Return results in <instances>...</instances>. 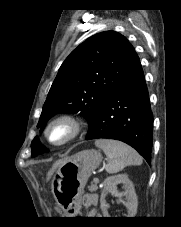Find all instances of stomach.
<instances>
[{
	"label": "stomach",
	"mask_w": 181,
	"mask_h": 227,
	"mask_svg": "<svg viewBox=\"0 0 181 227\" xmlns=\"http://www.w3.org/2000/svg\"><path fill=\"white\" fill-rule=\"evenodd\" d=\"M101 161L102 155L99 151L83 150L69 157L57 168L51 180V192L65 214L78 213L80 198L88 178Z\"/></svg>",
	"instance_id": "obj_1"
}]
</instances>
